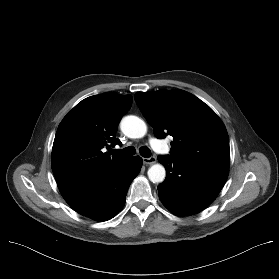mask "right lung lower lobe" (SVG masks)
Returning a JSON list of instances; mask_svg holds the SVG:
<instances>
[{
  "label": "right lung lower lobe",
  "instance_id": "obj_1",
  "mask_svg": "<svg viewBox=\"0 0 279 279\" xmlns=\"http://www.w3.org/2000/svg\"><path fill=\"white\" fill-rule=\"evenodd\" d=\"M141 166L139 156L130 157L111 172L60 192L79 214L97 221L109 220L122 210L128 187Z\"/></svg>",
  "mask_w": 279,
  "mask_h": 279
}]
</instances>
